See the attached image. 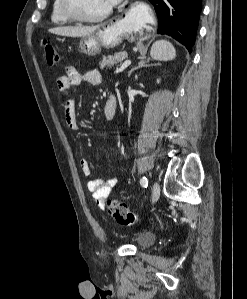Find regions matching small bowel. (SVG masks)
<instances>
[{
	"label": "small bowel",
	"mask_w": 247,
	"mask_h": 299,
	"mask_svg": "<svg viewBox=\"0 0 247 299\" xmlns=\"http://www.w3.org/2000/svg\"><path fill=\"white\" fill-rule=\"evenodd\" d=\"M100 80L101 77L97 70H87L80 72L73 67L67 68L64 75L57 77L56 85L63 97L62 106L64 119L69 128L74 130L79 128L75 101L71 94V90L82 83L96 85L100 82ZM108 101H113L116 103L114 96H110L107 102ZM80 168L85 176L90 175L91 167L87 159H82L80 161ZM116 183V178H96L88 182V189L92 193L94 201L99 208H105L106 201Z\"/></svg>",
	"instance_id": "small-bowel-1"
}]
</instances>
